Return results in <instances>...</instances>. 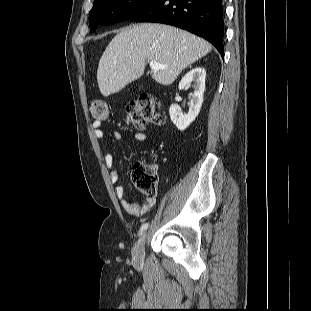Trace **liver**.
<instances>
[{
  "instance_id": "liver-1",
  "label": "liver",
  "mask_w": 311,
  "mask_h": 311,
  "mask_svg": "<svg viewBox=\"0 0 311 311\" xmlns=\"http://www.w3.org/2000/svg\"><path fill=\"white\" fill-rule=\"evenodd\" d=\"M212 46L187 31L156 23H143L122 29L100 58L97 82L107 97L139 78L146 61L166 66L152 78L162 85L172 84L184 68L205 56Z\"/></svg>"
}]
</instances>
